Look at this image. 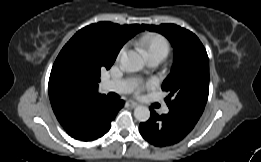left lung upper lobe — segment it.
Instances as JSON below:
<instances>
[{
    "label": "left lung upper lobe",
    "mask_w": 261,
    "mask_h": 162,
    "mask_svg": "<svg viewBox=\"0 0 261 162\" xmlns=\"http://www.w3.org/2000/svg\"><path fill=\"white\" fill-rule=\"evenodd\" d=\"M163 34L174 48L171 73L162 89L169 95L165 101L170 109L182 108L200 117L209 94V59L198 37L174 24L143 25Z\"/></svg>",
    "instance_id": "left-lung-upper-lobe-1"
}]
</instances>
